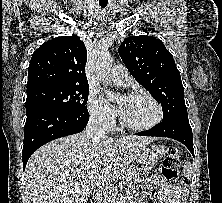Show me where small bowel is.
<instances>
[{"label":"small bowel","mask_w":222,"mask_h":203,"mask_svg":"<svg viewBox=\"0 0 222 203\" xmlns=\"http://www.w3.org/2000/svg\"><path fill=\"white\" fill-rule=\"evenodd\" d=\"M147 191L162 203H183L185 197V191L181 185L165 183L159 176H152L149 179L147 187L140 192V198H143Z\"/></svg>","instance_id":"1"}]
</instances>
